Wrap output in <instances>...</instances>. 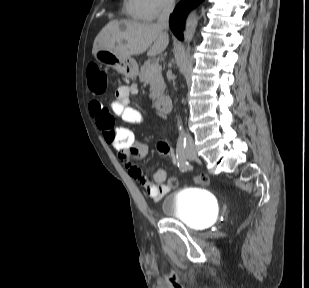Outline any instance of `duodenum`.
I'll list each match as a JSON object with an SVG mask.
<instances>
[{
    "label": "duodenum",
    "mask_w": 309,
    "mask_h": 288,
    "mask_svg": "<svg viewBox=\"0 0 309 288\" xmlns=\"http://www.w3.org/2000/svg\"><path fill=\"white\" fill-rule=\"evenodd\" d=\"M157 109L162 113H168L171 110V101L168 97H161L156 101Z\"/></svg>",
    "instance_id": "410a0bca"
}]
</instances>
